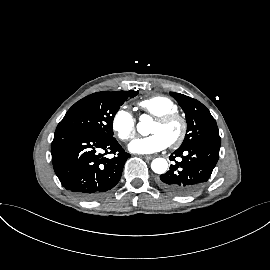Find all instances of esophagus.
I'll return each instance as SVG.
<instances>
[{
	"label": "esophagus",
	"mask_w": 270,
	"mask_h": 270,
	"mask_svg": "<svg viewBox=\"0 0 270 270\" xmlns=\"http://www.w3.org/2000/svg\"><path fill=\"white\" fill-rule=\"evenodd\" d=\"M143 158L147 159V160H151L154 158L153 155H144Z\"/></svg>",
	"instance_id": "34e87169"
}]
</instances>
